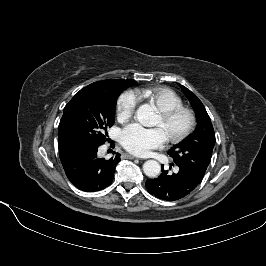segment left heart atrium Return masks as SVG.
<instances>
[{
    "label": "left heart atrium",
    "mask_w": 266,
    "mask_h": 266,
    "mask_svg": "<svg viewBox=\"0 0 266 266\" xmlns=\"http://www.w3.org/2000/svg\"><path fill=\"white\" fill-rule=\"evenodd\" d=\"M167 135L160 127L145 128L138 123L126 126L120 135L123 147L137 156H148L152 150L162 147Z\"/></svg>",
    "instance_id": "left-heart-atrium-1"
}]
</instances>
